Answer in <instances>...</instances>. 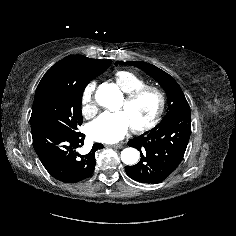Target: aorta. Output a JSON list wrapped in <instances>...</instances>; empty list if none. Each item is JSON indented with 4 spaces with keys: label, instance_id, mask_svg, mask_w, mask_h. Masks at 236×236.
I'll return each instance as SVG.
<instances>
[{
    "label": "aorta",
    "instance_id": "aorta-1",
    "mask_svg": "<svg viewBox=\"0 0 236 236\" xmlns=\"http://www.w3.org/2000/svg\"><path fill=\"white\" fill-rule=\"evenodd\" d=\"M121 97V91L114 84L99 88L95 95L97 103L109 110L116 109V105L121 100ZM121 159L126 165H134L139 159V152L132 147L125 148L121 152Z\"/></svg>",
    "mask_w": 236,
    "mask_h": 236
}]
</instances>
